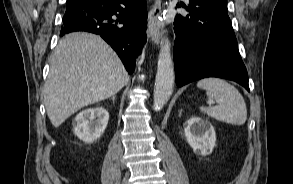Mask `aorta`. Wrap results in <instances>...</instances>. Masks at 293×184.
<instances>
[{
  "mask_svg": "<svg viewBox=\"0 0 293 184\" xmlns=\"http://www.w3.org/2000/svg\"><path fill=\"white\" fill-rule=\"evenodd\" d=\"M174 66L171 56L170 42L164 38L158 56V68L155 79L154 107L161 110L169 100L174 86Z\"/></svg>",
  "mask_w": 293,
  "mask_h": 184,
  "instance_id": "1",
  "label": "aorta"
}]
</instances>
